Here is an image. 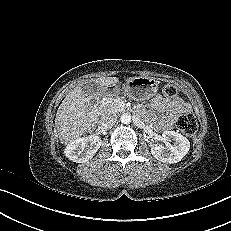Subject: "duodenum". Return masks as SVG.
I'll list each match as a JSON object with an SVG mask.
<instances>
[{"instance_id": "1", "label": "duodenum", "mask_w": 231, "mask_h": 231, "mask_svg": "<svg viewBox=\"0 0 231 231\" xmlns=\"http://www.w3.org/2000/svg\"><path fill=\"white\" fill-rule=\"evenodd\" d=\"M99 102H100V100L96 96L90 97V99L88 101L89 107L91 109V118L93 120H95L97 117V110H98L97 108H98Z\"/></svg>"}]
</instances>
